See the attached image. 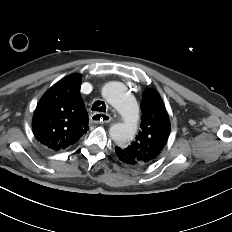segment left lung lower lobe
<instances>
[{
	"mask_svg": "<svg viewBox=\"0 0 232 232\" xmlns=\"http://www.w3.org/2000/svg\"><path fill=\"white\" fill-rule=\"evenodd\" d=\"M115 152L117 157L120 159V161H122L125 164L131 165L133 166V160L128 157L126 154H124L122 151L119 150V148H115Z\"/></svg>",
	"mask_w": 232,
	"mask_h": 232,
	"instance_id": "obj_1",
	"label": "left lung lower lobe"
}]
</instances>
